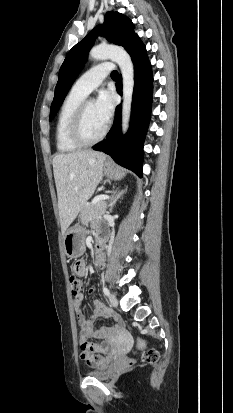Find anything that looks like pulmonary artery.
Listing matches in <instances>:
<instances>
[{"label":"pulmonary artery","mask_w":233,"mask_h":413,"mask_svg":"<svg viewBox=\"0 0 233 413\" xmlns=\"http://www.w3.org/2000/svg\"><path fill=\"white\" fill-rule=\"evenodd\" d=\"M112 68L111 63H101L92 67L76 80L72 89L88 95L102 83Z\"/></svg>","instance_id":"1"}]
</instances>
